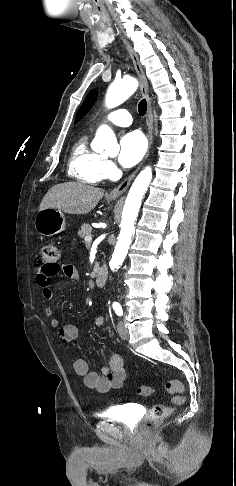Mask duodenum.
Returning a JSON list of instances; mask_svg holds the SVG:
<instances>
[{"mask_svg": "<svg viewBox=\"0 0 236 486\" xmlns=\"http://www.w3.org/2000/svg\"><path fill=\"white\" fill-rule=\"evenodd\" d=\"M108 270L105 266H102L96 270L95 284L98 287H104L107 282Z\"/></svg>", "mask_w": 236, "mask_h": 486, "instance_id": "410a0bca", "label": "duodenum"}]
</instances>
